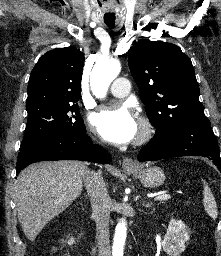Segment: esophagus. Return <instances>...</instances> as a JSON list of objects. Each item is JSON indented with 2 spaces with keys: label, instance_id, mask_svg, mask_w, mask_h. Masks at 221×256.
<instances>
[{
  "label": "esophagus",
  "instance_id": "34e87169",
  "mask_svg": "<svg viewBox=\"0 0 221 256\" xmlns=\"http://www.w3.org/2000/svg\"><path fill=\"white\" fill-rule=\"evenodd\" d=\"M122 166L124 168H134L136 167V163L131 158H124L122 160Z\"/></svg>",
  "mask_w": 221,
  "mask_h": 256
}]
</instances>
